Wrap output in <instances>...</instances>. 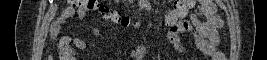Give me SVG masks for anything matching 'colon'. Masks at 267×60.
I'll return each mask as SVG.
<instances>
[{
  "label": "colon",
  "instance_id": "5ec220e1",
  "mask_svg": "<svg viewBox=\"0 0 267 60\" xmlns=\"http://www.w3.org/2000/svg\"><path fill=\"white\" fill-rule=\"evenodd\" d=\"M73 2L78 6L79 10L85 14L97 13L105 19L112 20L122 25H128L129 23L128 17L121 15L119 12L99 0H75ZM189 4V0H177L174 8L165 15L164 23L166 25H174L180 16L185 13ZM62 55L64 56V54Z\"/></svg>",
  "mask_w": 267,
  "mask_h": 60
}]
</instances>
